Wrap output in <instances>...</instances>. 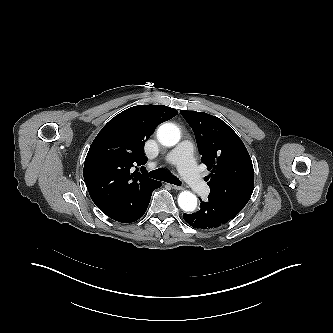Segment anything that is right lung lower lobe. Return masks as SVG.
<instances>
[{"instance_id":"98d812e1","label":"right lung lower lobe","mask_w":333,"mask_h":333,"mask_svg":"<svg viewBox=\"0 0 333 333\" xmlns=\"http://www.w3.org/2000/svg\"><path fill=\"white\" fill-rule=\"evenodd\" d=\"M160 186L161 183L154 180L147 186L131 193L122 203L102 211L118 222H134L144 215L153 190Z\"/></svg>"}]
</instances>
